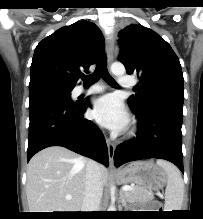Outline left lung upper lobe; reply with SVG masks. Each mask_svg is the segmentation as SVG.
<instances>
[{"instance_id": "obj_1", "label": "left lung upper lobe", "mask_w": 203, "mask_h": 219, "mask_svg": "<svg viewBox=\"0 0 203 219\" xmlns=\"http://www.w3.org/2000/svg\"><path fill=\"white\" fill-rule=\"evenodd\" d=\"M119 37V60L140 83L138 93L128 99L131 109L143 112L155 104L183 105V73L171 46L140 24L125 27Z\"/></svg>"}]
</instances>
